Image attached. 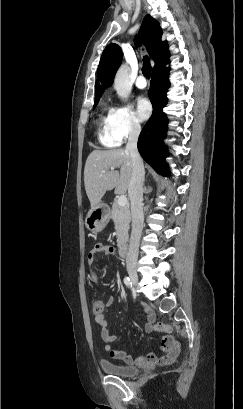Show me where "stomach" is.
Instances as JSON below:
<instances>
[{
    "label": "stomach",
    "instance_id": "stomach-1",
    "mask_svg": "<svg viewBox=\"0 0 243 409\" xmlns=\"http://www.w3.org/2000/svg\"><path fill=\"white\" fill-rule=\"evenodd\" d=\"M110 219V209L104 203H99L95 208H91L85 218V225L93 233L101 232Z\"/></svg>",
    "mask_w": 243,
    "mask_h": 409
}]
</instances>
